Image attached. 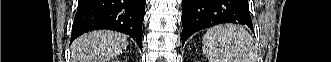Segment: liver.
Instances as JSON below:
<instances>
[{
  "label": "liver",
  "instance_id": "6515ba94",
  "mask_svg": "<svg viewBox=\"0 0 331 62\" xmlns=\"http://www.w3.org/2000/svg\"><path fill=\"white\" fill-rule=\"evenodd\" d=\"M128 46L123 34L98 30L77 38L71 45L72 62H108L122 54Z\"/></svg>",
  "mask_w": 331,
  "mask_h": 62
}]
</instances>
